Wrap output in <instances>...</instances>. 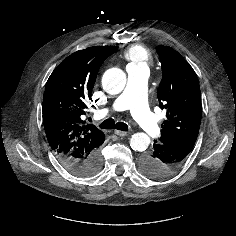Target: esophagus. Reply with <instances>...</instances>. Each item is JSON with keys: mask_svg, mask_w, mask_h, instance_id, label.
<instances>
[{"mask_svg": "<svg viewBox=\"0 0 236 236\" xmlns=\"http://www.w3.org/2000/svg\"><path fill=\"white\" fill-rule=\"evenodd\" d=\"M115 134L121 137H125L127 135H129L128 132H124V131H120V130H115Z\"/></svg>", "mask_w": 236, "mask_h": 236, "instance_id": "esophagus-1", "label": "esophagus"}]
</instances>
